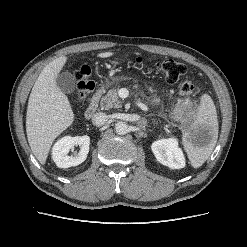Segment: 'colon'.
Returning a JSON list of instances; mask_svg holds the SVG:
<instances>
[{"mask_svg": "<svg viewBox=\"0 0 247 247\" xmlns=\"http://www.w3.org/2000/svg\"><path fill=\"white\" fill-rule=\"evenodd\" d=\"M137 64H142L140 59H137ZM151 69L156 73L162 74L166 81L171 84L178 82L187 72V68L183 63L173 59L159 61L153 65ZM89 75L90 70L87 66L81 67L75 74V79L77 81L76 98L79 101L85 100L94 87L93 82L89 79ZM193 90V81L187 77L182 78L180 82V93L184 96H188Z\"/></svg>", "mask_w": 247, "mask_h": 247, "instance_id": "1", "label": "colon"}]
</instances>
